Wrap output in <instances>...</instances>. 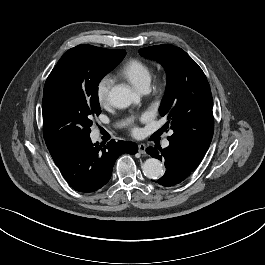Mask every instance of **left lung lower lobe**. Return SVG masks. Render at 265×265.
Instances as JSON below:
<instances>
[{
	"mask_svg": "<svg viewBox=\"0 0 265 265\" xmlns=\"http://www.w3.org/2000/svg\"><path fill=\"white\" fill-rule=\"evenodd\" d=\"M146 152L154 158L165 161L166 172L156 183L170 187L179 184L186 179L197 165L188 161L186 157L172 146L148 147Z\"/></svg>",
	"mask_w": 265,
	"mask_h": 265,
	"instance_id": "left-lung-lower-lobe-1",
	"label": "left lung lower lobe"
}]
</instances>
